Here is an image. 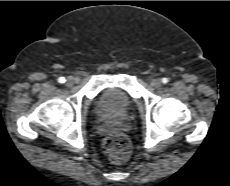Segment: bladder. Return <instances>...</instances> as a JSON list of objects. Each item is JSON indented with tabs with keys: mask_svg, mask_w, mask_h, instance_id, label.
<instances>
[{
	"mask_svg": "<svg viewBox=\"0 0 230 186\" xmlns=\"http://www.w3.org/2000/svg\"><path fill=\"white\" fill-rule=\"evenodd\" d=\"M130 96L119 89L112 88L104 91L96 103V113L103 118L122 117L131 109Z\"/></svg>",
	"mask_w": 230,
	"mask_h": 186,
	"instance_id": "31cf9c89",
	"label": "bladder"
}]
</instances>
